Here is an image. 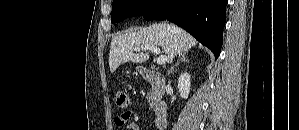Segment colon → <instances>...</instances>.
I'll list each match as a JSON object with an SVG mask.
<instances>
[{
  "mask_svg": "<svg viewBox=\"0 0 299 130\" xmlns=\"http://www.w3.org/2000/svg\"><path fill=\"white\" fill-rule=\"evenodd\" d=\"M115 102L117 107L121 109H126L130 104V98L125 91L119 90L115 94Z\"/></svg>",
  "mask_w": 299,
  "mask_h": 130,
  "instance_id": "colon-1",
  "label": "colon"
}]
</instances>
